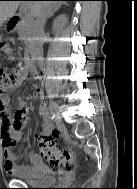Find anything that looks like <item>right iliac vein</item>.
Listing matches in <instances>:
<instances>
[{
    "label": "right iliac vein",
    "mask_w": 137,
    "mask_h": 189,
    "mask_svg": "<svg viewBox=\"0 0 137 189\" xmlns=\"http://www.w3.org/2000/svg\"><path fill=\"white\" fill-rule=\"evenodd\" d=\"M49 108L51 109L52 113L55 115L56 121H59L61 119V117H60L58 105L55 102L50 101Z\"/></svg>",
    "instance_id": "obj_1"
}]
</instances>
